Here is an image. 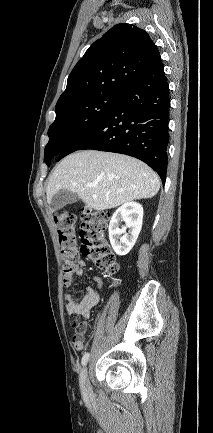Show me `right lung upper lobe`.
I'll use <instances>...</instances> for the list:
<instances>
[{
	"mask_svg": "<svg viewBox=\"0 0 213 433\" xmlns=\"http://www.w3.org/2000/svg\"><path fill=\"white\" fill-rule=\"evenodd\" d=\"M160 59L146 31L117 24L95 41L73 68L56 109L98 94L122 95Z\"/></svg>",
	"mask_w": 213,
	"mask_h": 433,
	"instance_id": "obj_1",
	"label": "right lung upper lobe"
}]
</instances>
